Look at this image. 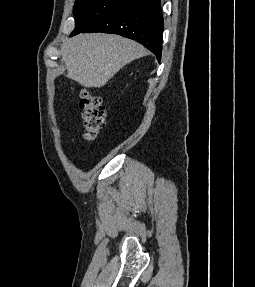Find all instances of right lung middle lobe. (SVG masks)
<instances>
[{
    "instance_id": "dd1d6c3e",
    "label": "right lung middle lobe",
    "mask_w": 255,
    "mask_h": 287,
    "mask_svg": "<svg viewBox=\"0 0 255 287\" xmlns=\"http://www.w3.org/2000/svg\"><path fill=\"white\" fill-rule=\"evenodd\" d=\"M129 2L130 0H75L73 7L75 29L70 36L84 31L110 12Z\"/></svg>"
}]
</instances>
